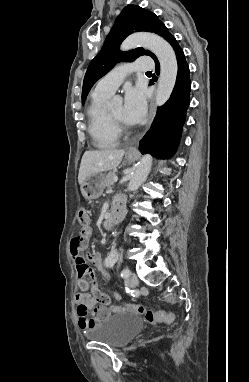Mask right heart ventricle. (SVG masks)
I'll use <instances>...</instances> for the list:
<instances>
[{"label": "right heart ventricle", "mask_w": 249, "mask_h": 382, "mask_svg": "<svg viewBox=\"0 0 249 382\" xmlns=\"http://www.w3.org/2000/svg\"><path fill=\"white\" fill-rule=\"evenodd\" d=\"M111 95L94 90L87 108L88 130L93 143L100 149L115 147L119 133L110 122L105 104Z\"/></svg>", "instance_id": "1"}]
</instances>
